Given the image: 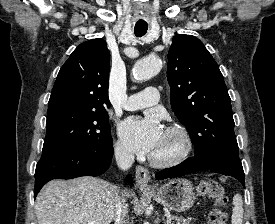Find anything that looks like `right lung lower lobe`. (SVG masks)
Masks as SVG:
<instances>
[{
	"label": "right lung lower lobe",
	"mask_w": 275,
	"mask_h": 224,
	"mask_svg": "<svg viewBox=\"0 0 275 224\" xmlns=\"http://www.w3.org/2000/svg\"><path fill=\"white\" fill-rule=\"evenodd\" d=\"M112 155V139L98 146L43 150L35 171L34 198L43 185L52 179L103 174L111 164ZM126 180L130 182L131 176Z\"/></svg>",
	"instance_id": "obj_1"
}]
</instances>
